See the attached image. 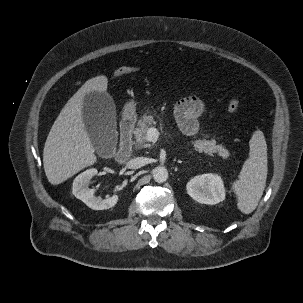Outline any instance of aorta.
Masks as SVG:
<instances>
[{
	"label": "aorta",
	"instance_id": "aorta-1",
	"mask_svg": "<svg viewBox=\"0 0 303 303\" xmlns=\"http://www.w3.org/2000/svg\"><path fill=\"white\" fill-rule=\"evenodd\" d=\"M153 178L157 183H163L168 179V171L163 166H158L152 171Z\"/></svg>",
	"mask_w": 303,
	"mask_h": 303
}]
</instances>
